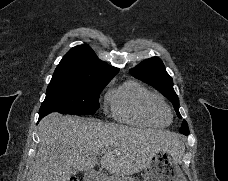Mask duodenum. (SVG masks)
Returning a JSON list of instances; mask_svg holds the SVG:
<instances>
[{
    "instance_id": "obj_1",
    "label": "duodenum",
    "mask_w": 228,
    "mask_h": 181,
    "mask_svg": "<svg viewBox=\"0 0 228 181\" xmlns=\"http://www.w3.org/2000/svg\"><path fill=\"white\" fill-rule=\"evenodd\" d=\"M86 181H99V174L96 172H85Z\"/></svg>"
}]
</instances>
